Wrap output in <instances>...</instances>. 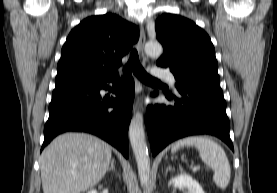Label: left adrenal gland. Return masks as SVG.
I'll list each match as a JSON object with an SVG mask.
<instances>
[{"label": "left adrenal gland", "instance_id": "left-adrenal-gland-1", "mask_svg": "<svg viewBox=\"0 0 277 193\" xmlns=\"http://www.w3.org/2000/svg\"><path fill=\"white\" fill-rule=\"evenodd\" d=\"M172 169H173L172 166L169 165V166L167 167V169H166V173H167L168 171L172 170Z\"/></svg>", "mask_w": 277, "mask_h": 193}]
</instances>
